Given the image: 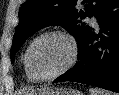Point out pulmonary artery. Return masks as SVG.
Instances as JSON below:
<instances>
[{
	"mask_svg": "<svg viewBox=\"0 0 119 95\" xmlns=\"http://www.w3.org/2000/svg\"><path fill=\"white\" fill-rule=\"evenodd\" d=\"M90 23L94 26H98V23H97V19L95 16L91 17L90 19Z\"/></svg>",
	"mask_w": 119,
	"mask_h": 95,
	"instance_id": "e3ab8cb5",
	"label": "pulmonary artery"
}]
</instances>
